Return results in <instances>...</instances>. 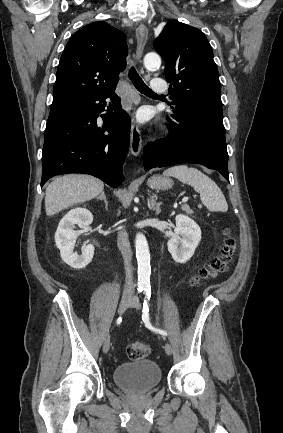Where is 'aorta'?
<instances>
[{
  "label": "aorta",
  "instance_id": "obj_1",
  "mask_svg": "<svg viewBox=\"0 0 283 433\" xmlns=\"http://www.w3.org/2000/svg\"><path fill=\"white\" fill-rule=\"evenodd\" d=\"M161 65L160 56L156 53H148L144 57V66L148 70H156ZM136 258L138 263V286L147 288L150 285V252L147 240L142 233L135 238Z\"/></svg>",
  "mask_w": 283,
  "mask_h": 433
}]
</instances>
